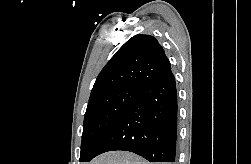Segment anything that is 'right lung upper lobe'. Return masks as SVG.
<instances>
[{"instance_id":"cb5924a9","label":"right lung upper lobe","mask_w":251,"mask_h":164,"mask_svg":"<svg viewBox=\"0 0 251 164\" xmlns=\"http://www.w3.org/2000/svg\"><path fill=\"white\" fill-rule=\"evenodd\" d=\"M170 70V62L157 39L151 35H135L102 69L90 99L122 87L140 89Z\"/></svg>"}]
</instances>
